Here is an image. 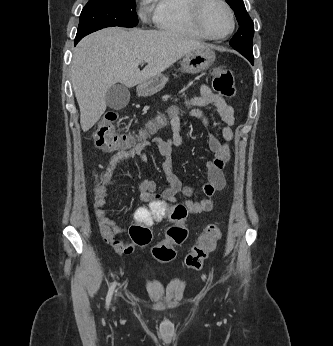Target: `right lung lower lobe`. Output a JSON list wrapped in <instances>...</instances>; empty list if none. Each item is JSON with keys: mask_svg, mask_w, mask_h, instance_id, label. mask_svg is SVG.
Wrapping results in <instances>:
<instances>
[{"mask_svg": "<svg viewBox=\"0 0 333 346\" xmlns=\"http://www.w3.org/2000/svg\"><path fill=\"white\" fill-rule=\"evenodd\" d=\"M78 42L77 41H75V45L77 44Z\"/></svg>", "mask_w": 333, "mask_h": 346, "instance_id": "98d812e1", "label": "right lung lower lobe"}]
</instances>
